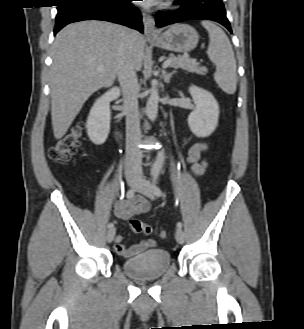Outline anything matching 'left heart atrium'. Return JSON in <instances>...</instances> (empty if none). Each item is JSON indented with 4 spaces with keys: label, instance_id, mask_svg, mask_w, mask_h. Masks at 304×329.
<instances>
[{
    "label": "left heart atrium",
    "instance_id": "obj_1",
    "mask_svg": "<svg viewBox=\"0 0 304 329\" xmlns=\"http://www.w3.org/2000/svg\"><path fill=\"white\" fill-rule=\"evenodd\" d=\"M158 0H142L144 6H152L157 3Z\"/></svg>",
    "mask_w": 304,
    "mask_h": 329
}]
</instances>
